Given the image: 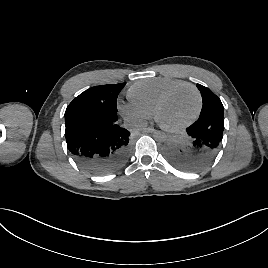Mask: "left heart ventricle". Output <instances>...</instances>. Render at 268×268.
<instances>
[{
  "mask_svg": "<svg viewBox=\"0 0 268 268\" xmlns=\"http://www.w3.org/2000/svg\"><path fill=\"white\" fill-rule=\"evenodd\" d=\"M197 108V97L188 87L177 90L162 106L160 120L169 126H177L190 119Z\"/></svg>",
  "mask_w": 268,
  "mask_h": 268,
  "instance_id": "left-heart-ventricle-1",
  "label": "left heart ventricle"
}]
</instances>
